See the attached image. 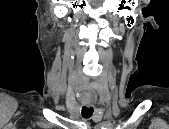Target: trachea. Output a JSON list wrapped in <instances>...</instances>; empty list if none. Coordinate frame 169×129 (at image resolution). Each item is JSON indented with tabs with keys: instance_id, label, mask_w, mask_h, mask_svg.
<instances>
[{
	"instance_id": "1",
	"label": "trachea",
	"mask_w": 169,
	"mask_h": 129,
	"mask_svg": "<svg viewBox=\"0 0 169 129\" xmlns=\"http://www.w3.org/2000/svg\"><path fill=\"white\" fill-rule=\"evenodd\" d=\"M94 109L92 107H82V117L85 119L90 118L93 115Z\"/></svg>"
}]
</instances>
